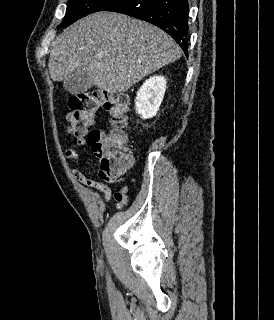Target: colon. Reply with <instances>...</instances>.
<instances>
[{
  "label": "colon",
  "mask_w": 274,
  "mask_h": 320,
  "mask_svg": "<svg viewBox=\"0 0 274 320\" xmlns=\"http://www.w3.org/2000/svg\"><path fill=\"white\" fill-rule=\"evenodd\" d=\"M127 98L124 95L109 96L97 89L87 93H79L67 100L68 134H85V138L92 139V149L101 154V170L112 178H120L127 171L133 157L125 152L128 137L125 125ZM102 108L109 116L111 131H92L91 120H96L97 111ZM127 188L122 187L116 191L115 196H127Z\"/></svg>",
  "instance_id": "obj_1"
}]
</instances>
